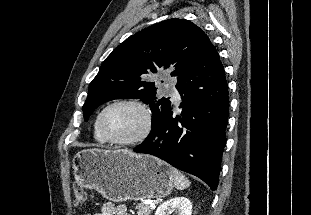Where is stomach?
<instances>
[{
  "mask_svg": "<svg viewBox=\"0 0 311 215\" xmlns=\"http://www.w3.org/2000/svg\"><path fill=\"white\" fill-rule=\"evenodd\" d=\"M75 180L105 198L126 200L161 199L174 186L170 166L150 155L123 149H85L73 157Z\"/></svg>",
  "mask_w": 311,
  "mask_h": 215,
  "instance_id": "0dacf381",
  "label": "stomach"
}]
</instances>
